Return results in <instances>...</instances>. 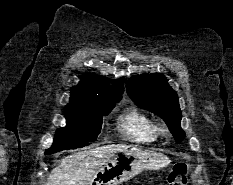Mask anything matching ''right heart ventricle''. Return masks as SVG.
<instances>
[{
    "label": "right heart ventricle",
    "mask_w": 233,
    "mask_h": 185,
    "mask_svg": "<svg viewBox=\"0 0 233 185\" xmlns=\"http://www.w3.org/2000/svg\"><path fill=\"white\" fill-rule=\"evenodd\" d=\"M118 126L127 140L139 144L154 142L159 135L155 120L135 107L128 109L119 117Z\"/></svg>",
    "instance_id": "right-heart-ventricle-1"
}]
</instances>
